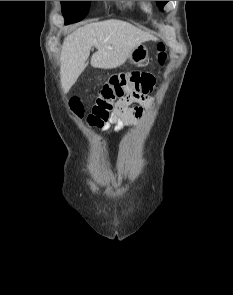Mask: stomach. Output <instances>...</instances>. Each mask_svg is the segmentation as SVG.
Instances as JSON below:
<instances>
[{
  "mask_svg": "<svg viewBox=\"0 0 233 295\" xmlns=\"http://www.w3.org/2000/svg\"><path fill=\"white\" fill-rule=\"evenodd\" d=\"M148 55H149L148 47L143 42L131 50V52L129 53L128 59L132 64L140 66V65H143L144 62L148 59Z\"/></svg>",
  "mask_w": 233,
  "mask_h": 295,
  "instance_id": "1",
  "label": "stomach"
}]
</instances>
